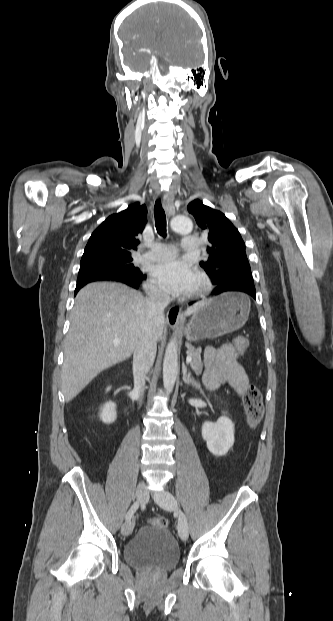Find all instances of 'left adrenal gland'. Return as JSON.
I'll return each mask as SVG.
<instances>
[{
	"label": "left adrenal gland",
	"instance_id": "a2214340",
	"mask_svg": "<svg viewBox=\"0 0 333 621\" xmlns=\"http://www.w3.org/2000/svg\"><path fill=\"white\" fill-rule=\"evenodd\" d=\"M183 381L187 385L198 386L195 379L191 376L190 372L187 373V367L183 365Z\"/></svg>",
	"mask_w": 333,
	"mask_h": 621
}]
</instances>
